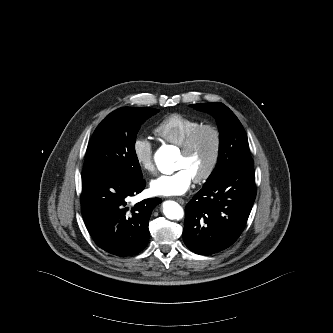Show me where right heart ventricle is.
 Wrapping results in <instances>:
<instances>
[{"label":"right heart ventricle","mask_w":333,"mask_h":333,"mask_svg":"<svg viewBox=\"0 0 333 333\" xmlns=\"http://www.w3.org/2000/svg\"><path fill=\"white\" fill-rule=\"evenodd\" d=\"M203 123L181 114H171L154 129L155 135L163 141L181 146L187 136Z\"/></svg>","instance_id":"right-heart-ventricle-1"}]
</instances>
